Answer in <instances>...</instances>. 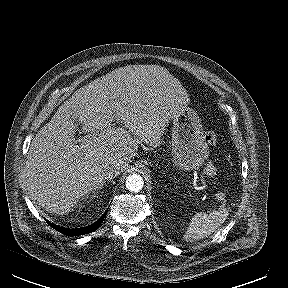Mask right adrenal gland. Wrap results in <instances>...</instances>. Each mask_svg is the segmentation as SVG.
<instances>
[{"instance_id": "1", "label": "right adrenal gland", "mask_w": 288, "mask_h": 288, "mask_svg": "<svg viewBox=\"0 0 288 288\" xmlns=\"http://www.w3.org/2000/svg\"><path fill=\"white\" fill-rule=\"evenodd\" d=\"M102 186H103V185H101V186L99 187V189H102ZM94 197H95V195H94Z\"/></svg>"}]
</instances>
